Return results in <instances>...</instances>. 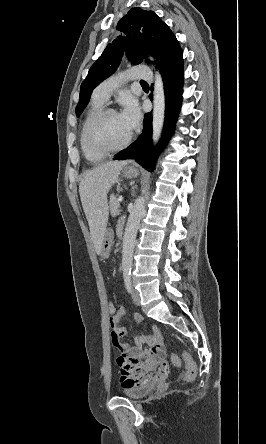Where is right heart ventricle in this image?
<instances>
[{
    "label": "right heart ventricle",
    "mask_w": 266,
    "mask_h": 444,
    "mask_svg": "<svg viewBox=\"0 0 266 444\" xmlns=\"http://www.w3.org/2000/svg\"><path fill=\"white\" fill-rule=\"evenodd\" d=\"M104 102L100 99L93 97L91 104L85 114L81 131H80V146L84 156L91 161H100L103 160L107 155L97 154L90 151L85 144V131L90 122V120L101 110L103 109Z\"/></svg>",
    "instance_id": "right-heart-ventricle-1"
}]
</instances>
